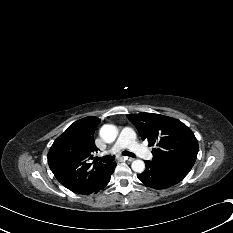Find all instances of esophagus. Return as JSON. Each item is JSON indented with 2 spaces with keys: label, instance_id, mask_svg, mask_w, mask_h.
I'll list each match as a JSON object with an SVG mask.
<instances>
[{
  "label": "esophagus",
  "instance_id": "esophagus-1",
  "mask_svg": "<svg viewBox=\"0 0 233 233\" xmlns=\"http://www.w3.org/2000/svg\"><path fill=\"white\" fill-rule=\"evenodd\" d=\"M124 160L129 161V162H132V161H134V158H131V157H124Z\"/></svg>",
  "mask_w": 233,
  "mask_h": 233
}]
</instances>
